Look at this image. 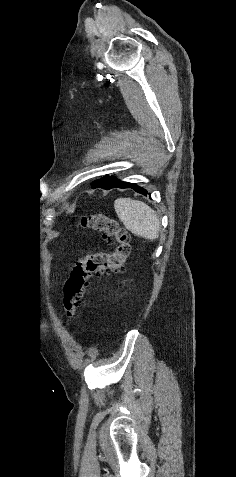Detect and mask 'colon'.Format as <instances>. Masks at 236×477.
Returning a JSON list of instances; mask_svg holds the SVG:
<instances>
[{"label":"colon","mask_w":236,"mask_h":477,"mask_svg":"<svg viewBox=\"0 0 236 477\" xmlns=\"http://www.w3.org/2000/svg\"><path fill=\"white\" fill-rule=\"evenodd\" d=\"M79 226L97 232L114 242L112 252H95L79 260L64 285V310L72 320L82 303L92 276H103L120 269L131 254L130 235L114 218L105 213L83 217Z\"/></svg>","instance_id":"5ec220e1"}]
</instances>
